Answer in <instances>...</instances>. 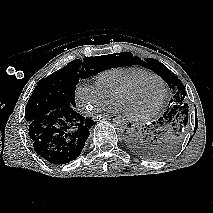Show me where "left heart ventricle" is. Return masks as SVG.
I'll return each instance as SVG.
<instances>
[{
	"label": "left heart ventricle",
	"mask_w": 213,
	"mask_h": 213,
	"mask_svg": "<svg viewBox=\"0 0 213 213\" xmlns=\"http://www.w3.org/2000/svg\"><path fill=\"white\" fill-rule=\"evenodd\" d=\"M163 88L160 81L148 77L134 88L120 95L116 102L130 115H142L152 110L161 100Z\"/></svg>",
	"instance_id": "left-heart-ventricle-1"
}]
</instances>
